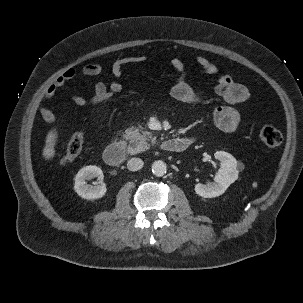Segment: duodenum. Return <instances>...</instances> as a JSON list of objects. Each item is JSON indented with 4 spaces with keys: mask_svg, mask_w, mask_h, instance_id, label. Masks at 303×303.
I'll use <instances>...</instances> for the list:
<instances>
[{
    "mask_svg": "<svg viewBox=\"0 0 303 303\" xmlns=\"http://www.w3.org/2000/svg\"><path fill=\"white\" fill-rule=\"evenodd\" d=\"M191 140L187 138H170L161 143L162 150L170 153L183 152L190 145ZM105 162L110 166H118L125 157V146L119 141L110 143L103 154Z\"/></svg>",
    "mask_w": 303,
    "mask_h": 303,
    "instance_id": "duodenum-1",
    "label": "duodenum"
}]
</instances>
